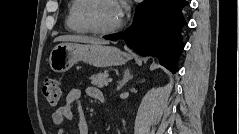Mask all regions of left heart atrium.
I'll return each mask as SVG.
<instances>
[{"mask_svg":"<svg viewBox=\"0 0 239 134\" xmlns=\"http://www.w3.org/2000/svg\"><path fill=\"white\" fill-rule=\"evenodd\" d=\"M117 8H118L119 16L120 18H122L124 15V12L126 11V5L122 2L117 5Z\"/></svg>","mask_w":239,"mask_h":134,"instance_id":"obj_1","label":"left heart atrium"}]
</instances>
